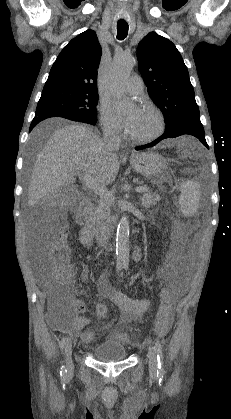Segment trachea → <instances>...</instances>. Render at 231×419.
Wrapping results in <instances>:
<instances>
[{
  "label": "trachea",
  "instance_id": "trachea-1",
  "mask_svg": "<svg viewBox=\"0 0 231 419\" xmlns=\"http://www.w3.org/2000/svg\"><path fill=\"white\" fill-rule=\"evenodd\" d=\"M128 34V24L125 21L117 22V39L123 40Z\"/></svg>",
  "mask_w": 231,
  "mask_h": 419
}]
</instances>
